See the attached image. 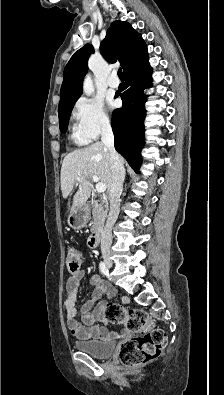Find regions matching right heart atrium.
Segmentation results:
<instances>
[{
  "instance_id": "obj_1",
  "label": "right heart atrium",
  "mask_w": 224,
  "mask_h": 395,
  "mask_svg": "<svg viewBox=\"0 0 224 395\" xmlns=\"http://www.w3.org/2000/svg\"><path fill=\"white\" fill-rule=\"evenodd\" d=\"M72 118L76 132L88 140L98 138L111 128V118L97 99L79 98L74 104Z\"/></svg>"
}]
</instances>
